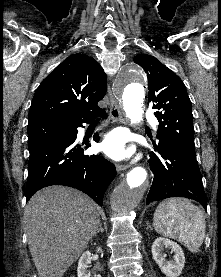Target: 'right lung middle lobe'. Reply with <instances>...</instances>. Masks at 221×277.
<instances>
[{"instance_id": "right-lung-middle-lobe-1", "label": "right lung middle lobe", "mask_w": 221, "mask_h": 277, "mask_svg": "<svg viewBox=\"0 0 221 277\" xmlns=\"http://www.w3.org/2000/svg\"><path fill=\"white\" fill-rule=\"evenodd\" d=\"M61 122L48 121L28 125V148L29 151L48 142L62 133Z\"/></svg>"}]
</instances>
